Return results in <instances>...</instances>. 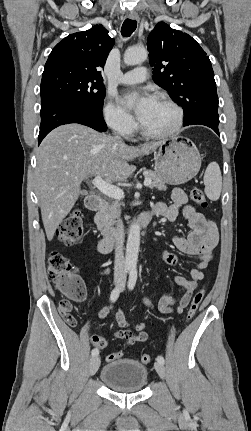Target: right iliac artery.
Instances as JSON below:
<instances>
[{"mask_svg":"<svg viewBox=\"0 0 251 431\" xmlns=\"http://www.w3.org/2000/svg\"><path fill=\"white\" fill-rule=\"evenodd\" d=\"M126 271H127V269H126ZM119 294H120V286H117L115 289H113V291L111 292V295H110V300H111V302H115L117 299H118V297H119ZM99 354V350L97 349V348H94L93 350H92V356H97Z\"/></svg>","mask_w":251,"mask_h":431,"instance_id":"82829eb1","label":"right iliac artery"}]
</instances>
